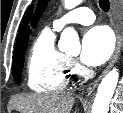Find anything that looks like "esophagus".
<instances>
[{
	"label": "esophagus",
	"mask_w": 123,
	"mask_h": 113,
	"mask_svg": "<svg viewBox=\"0 0 123 113\" xmlns=\"http://www.w3.org/2000/svg\"><path fill=\"white\" fill-rule=\"evenodd\" d=\"M110 5H111V13L113 15V21H114V28H115V33H116V47H115V51L113 53V56L111 58L110 63L108 64V66L105 68V70L101 73V75H99L97 77V79H95L92 83L89 84V86L86 89V92L88 94H91L97 87V85L99 84V82L101 81V79L108 73V71L113 67V65L115 64V62L117 61L119 55H120V51H121V47H122V36H121V32L119 29V25H118V21L115 17V12L117 9V1L116 0H110Z\"/></svg>",
	"instance_id": "esophagus-1"
}]
</instances>
